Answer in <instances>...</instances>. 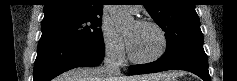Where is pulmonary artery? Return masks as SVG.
I'll use <instances>...</instances> for the list:
<instances>
[{"label": "pulmonary artery", "instance_id": "pulmonary-artery-1", "mask_svg": "<svg viewBox=\"0 0 237 81\" xmlns=\"http://www.w3.org/2000/svg\"><path fill=\"white\" fill-rule=\"evenodd\" d=\"M131 10L137 12V11H138V8H137V7H131Z\"/></svg>", "mask_w": 237, "mask_h": 81}]
</instances>
